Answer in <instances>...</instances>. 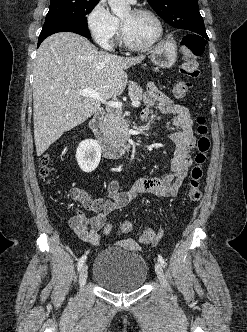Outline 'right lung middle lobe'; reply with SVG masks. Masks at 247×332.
Wrapping results in <instances>:
<instances>
[{
	"label": "right lung middle lobe",
	"instance_id": "obj_1",
	"mask_svg": "<svg viewBox=\"0 0 247 332\" xmlns=\"http://www.w3.org/2000/svg\"><path fill=\"white\" fill-rule=\"evenodd\" d=\"M98 2L99 0H51L45 22L68 20L87 26V15Z\"/></svg>",
	"mask_w": 247,
	"mask_h": 332
}]
</instances>
